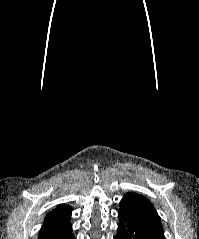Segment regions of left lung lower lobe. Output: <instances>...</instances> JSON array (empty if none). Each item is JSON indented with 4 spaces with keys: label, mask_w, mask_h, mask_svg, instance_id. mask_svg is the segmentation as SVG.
I'll list each match as a JSON object with an SVG mask.
<instances>
[{
    "label": "left lung lower lobe",
    "mask_w": 199,
    "mask_h": 239,
    "mask_svg": "<svg viewBox=\"0 0 199 239\" xmlns=\"http://www.w3.org/2000/svg\"><path fill=\"white\" fill-rule=\"evenodd\" d=\"M118 232L114 239H165L148 222L126 212L119 211Z\"/></svg>",
    "instance_id": "left-lung-lower-lobe-1"
}]
</instances>
